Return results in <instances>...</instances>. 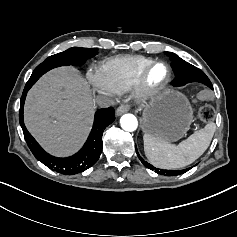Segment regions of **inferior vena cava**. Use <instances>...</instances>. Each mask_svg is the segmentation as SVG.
<instances>
[{
	"mask_svg": "<svg viewBox=\"0 0 237 237\" xmlns=\"http://www.w3.org/2000/svg\"><path fill=\"white\" fill-rule=\"evenodd\" d=\"M95 102L101 108H107L115 104L114 100L111 97L105 95H98L95 98Z\"/></svg>",
	"mask_w": 237,
	"mask_h": 237,
	"instance_id": "1",
	"label": "inferior vena cava"
}]
</instances>
